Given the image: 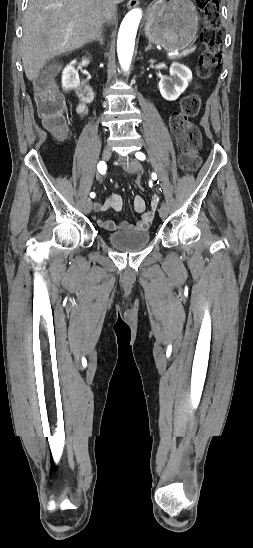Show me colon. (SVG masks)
<instances>
[{"label": "colon", "mask_w": 253, "mask_h": 548, "mask_svg": "<svg viewBox=\"0 0 253 548\" xmlns=\"http://www.w3.org/2000/svg\"><path fill=\"white\" fill-rule=\"evenodd\" d=\"M205 16V27L201 39L205 49L200 56L199 76L206 78L221 62L220 46L223 35L220 28L218 0H197ZM34 96L37 111L43 124L58 135L66 130V103L57 90L51 72L45 73L34 81ZM202 99L197 91L186 94L180 103V109L172 114L170 128L177 138L180 156L179 164L184 171H195L201 164V134L190 121L198 114ZM136 189L147 192L141 176L135 177Z\"/></svg>", "instance_id": "5ec220e1"}]
</instances>
